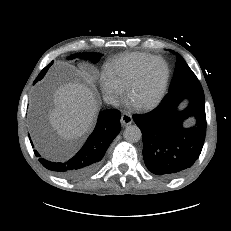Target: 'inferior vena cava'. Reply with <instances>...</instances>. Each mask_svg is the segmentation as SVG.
Returning a JSON list of instances; mask_svg holds the SVG:
<instances>
[{
  "label": "inferior vena cava",
  "instance_id": "obj_1",
  "mask_svg": "<svg viewBox=\"0 0 231 231\" xmlns=\"http://www.w3.org/2000/svg\"><path fill=\"white\" fill-rule=\"evenodd\" d=\"M103 100L105 103L113 105L115 107H118L120 105L119 99L117 98V96L114 95H105L103 97Z\"/></svg>",
  "mask_w": 231,
  "mask_h": 231
}]
</instances>
